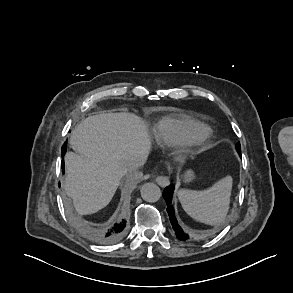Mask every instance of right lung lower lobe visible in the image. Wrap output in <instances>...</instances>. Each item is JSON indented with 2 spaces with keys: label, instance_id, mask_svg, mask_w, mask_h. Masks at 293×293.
<instances>
[{
  "label": "right lung lower lobe",
  "instance_id": "right-lung-lower-lobe-1",
  "mask_svg": "<svg viewBox=\"0 0 293 293\" xmlns=\"http://www.w3.org/2000/svg\"><path fill=\"white\" fill-rule=\"evenodd\" d=\"M66 152V143L62 146V159ZM62 171L64 173V161L62 160ZM126 221L122 219V221L116 222L113 226H111L107 230H100L94 236V239L102 244H111L119 241L126 232Z\"/></svg>",
  "mask_w": 293,
  "mask_h": 293
}]
</instances>
